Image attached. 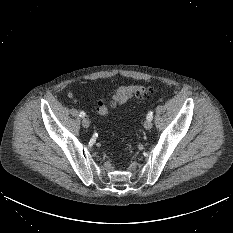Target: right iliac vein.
<instances>
[{
  "instance_id": "obj_1",
  "label": "right iliac vein",
  "mask_w": 233,
  "mask_h": 233,
  "mask_svg": "<svg viewBox=\"0 0 233 233\" xmlns=\"http://www.w3.org/2000/svg\"><path fill=\"white\" fill-rule=\"evenodd\" d=\"M82 125L84 128H88L90 125L89 119L88 118H83L82 119Z\"/></svg>"
}]
</instances>
